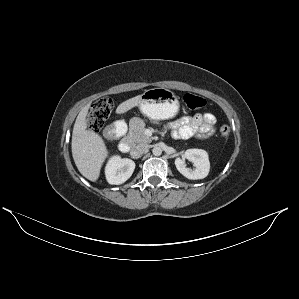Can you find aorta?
<instances>
[{
  "mask_svg": "<svg viewBox=\"0 0 299 299\" xmlns=\"http://www.w3.org/2000/svg\"><path fill=\"white\" fill-rule=\"evenodd\" d=\"M154 156H160L162 154V149L158 146H155L152 150Z\"/></svg>",
  "mask_w": 299,
  "mask_h": 299,
  "instance_id": "762f6f07",
  "label": "aorta"
}]
</instances>
